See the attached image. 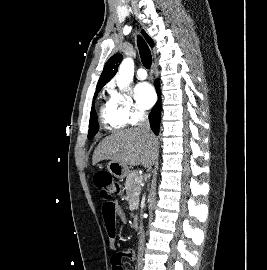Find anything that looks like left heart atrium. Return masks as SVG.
Wrapping results in <instances>:
<instances>
[{
    "mask_svg": "<svg viewBox=\"0 0 267 270\" xmlns=\"http://www.w3.org/2000/svg\"><path fill=\"white\" fill-rule=\"evenodd\" d=\"M134 93L137 105L141 109H149L155 102L156 95L149 83L142 82L137 84Z\"/></svg>",
    "mask_w": 267,
    "mask_h": 270,
    "instance_id": "39dd6f15",
    "label": "left heart atrium"
}]
</instances>
